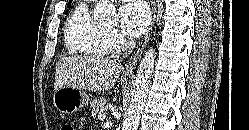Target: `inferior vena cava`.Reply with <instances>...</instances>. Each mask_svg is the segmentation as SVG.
Wrapping results in <instances>:
<instances>
[{
  "instance_id": "inferior-vena-cava-1",
  "label": "inferior vena cava",
  "mask_w": 249,
  "mask_h": 130,
  "mask_svg": "<svg viewBox=\"0 0 249 130\" xmlns=\"http://www.w3.org/2000/svg\"><path fill=\"white\" fill-rule=\"evenodd\" d=\"M133 46H134V42L133 41H127L125 43V49L133 48Z\"/></svg>"
}]
</instances>
